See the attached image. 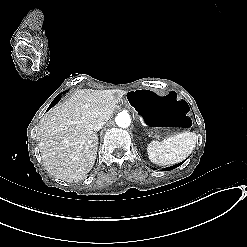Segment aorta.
<instances>
[{
  "label": "aorta",
  "instance_id": "aorta-1",
  "mask_svg": "<svg viewBox=\"0 0 247 247\" xmlns=\"http://www.w3.org/2000/svg\"><path fill=\"white\" fill-rule=\"evenodd\" d=\"M116 124L121 128H127L131 124V118L128 113L120 112L115 118Z\"/></svg>",
  "mask_w": 247,
  "mask_h": 247
}]
</instances>
